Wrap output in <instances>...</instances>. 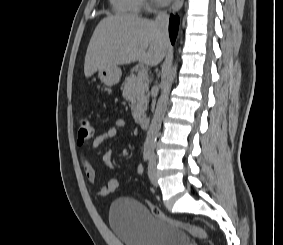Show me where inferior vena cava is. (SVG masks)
I'll return each instance as SVG.
<instances>
[{
  "instance_id": "obj_1",
  "label": "inferior vena cava",
  "mask_w": 283,
  "mask_h": 245,
  "mask_svg": "<svg viewBox=\"0 0 283 245\" xmlns=\"http://www.w3.org/2000/svg\"><path fill=\"white\" fill-rule=\"evenodd\" d=\"M168 21H169V17L165 12L159 13L155 19L156 24L160 26L163 29V31H165L167 34H168Z\"/></svg>"
}]
</instances>
